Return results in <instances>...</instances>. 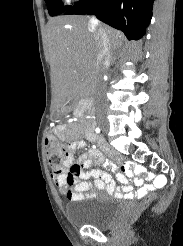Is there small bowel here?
<instances>
[{"label": "small bowel", "mask_w": 183, "mask_h": 246, "mask_svg": "<svg viewBox=\"0 0 183 246\" xmlns=\"http://www.w3.org/2000/svg\"><path fill=\"white\" fill-rule=\"evenodd\" d=\"M59 131L68 139L76 135L75 132H67L64 126L60 127ZM88 133L93 132L87 131L86 134ZM85 148L86 142L83 139L70 143L67 147V159L64 167L60 170H51L55 187L69 201H82L92 196V183L89 181L91 178L94 179L96 187L106 189L109 194H115L118 197L141 198L155 191L157 185H166V180H160L165 179V174H143L145 169L142 166L126 163L121 166L122 172L117 174V179L122 184V188H116L113 178L106 170L116 171L118 167L105 160L99 149L90 148L77 161L73 160V154L77 150ZM94 164L101 165L104 169L96 168L89 172L85 171ZM69 171L76 172L69 173ZM136 175H141V179L136 178ZM128 179H135L136 185L139 186L136 192H133ZM142 179H152L154 183L143 185Z\"/></svg>", "instance_id": "c3829d8e"}]
</instances>
